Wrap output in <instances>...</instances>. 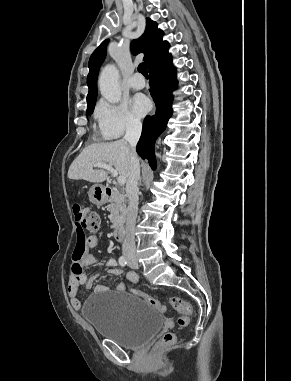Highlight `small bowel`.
Masks as SVG:
<instances>
[{
  "label": "small bowel",
  "instance_id": "c3829d8e",
  "mask_svg": "<svg viewBox=\"0 0 291 381\" xmlns=\"http://www.w3.org/2000/svg\"><path fill=\"white\" fill-rule=\"evenodd\" d=\"M86 245L89 248H96L99 245V238L96 235H90L86 238ZM97 260L89 253H84L82 257L80 258V263L83 266H91L95 264ZM108 270L110 273L114 275H120L122 273V269L119 268L116 265V262L114 260H108L107 261ZM126 278L129 282L136 284L138 283L139 277L134 272H129L126 275ZM96 278L90 277L87 278L86 276L73 272L68 279L67 282V294L70 300V304L74 310H80L82 308V301L80 299V287L85 286L86 288H90L95 283ZM108 289V287L103 284L99 283L95 287V291L100 293L104 292ZM116 291H124L125 290V283L120 282L115 287Z\"/></svg>",
  "mask_w": 291,
  "mask_h": 381
}]
</instances>
